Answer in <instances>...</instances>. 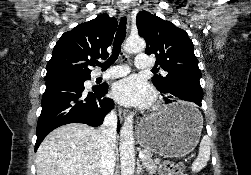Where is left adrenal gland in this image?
I'll return each mask as SVG.
<instances>
[{"label": "left adrenal gland", "instance_id": "1", "mask_svg": "<svg viewBox=\"0 0 251 175\" xmlns=\"http://www.w3.org/2000/svg\"><path fill=\"white\" fill-rule=\"evenodd\" d=\"M142 171H144V169L140 163V159H137V173H142Z\"/></svg>", "mask_w": 251, "mask_h": 175}]
</instances>
